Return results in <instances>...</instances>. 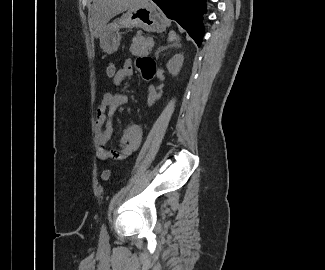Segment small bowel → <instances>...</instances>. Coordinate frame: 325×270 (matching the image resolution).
Returning <instances> with one entry per match:
<instances>
[{"instance_id": "small-bowel-1", "label": "small bowel", "mask_w": 325, "mask_h": 270, "mask_svg": "<svg viewBox=\"0 0 325 270\" xmlns=\"http://www.w3.org/2000/svg\"><path fill=\"white\" fill-rule=\"evenodd\" d=\"M136 66L140 74L145 78H152L156 71L154 60L149 56H141L136 61ZM118 78L112 79L115 86H120L127 78L133 75V65L130 60H126L121 68L117 71ZM128 99L127 96L120 92H106L96 111L94 122L95 127V145L96 156L99 160H114L120 161L131 155L140 145L142 131L139 125L133 124L128 126L121 137L120 148L109 150L106 144L113 135V126L109 122L105 127L107 114H113L116 109L125 105Z\"/></svg>"}]
</instances>
